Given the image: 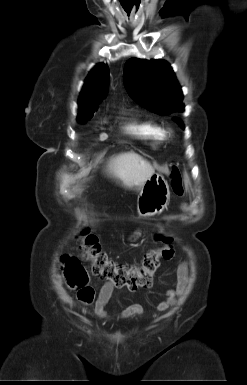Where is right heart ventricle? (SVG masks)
<instances>
[{
	"instance_id": "obj_1",
	"label": "right heart ventricle",
	"mask_w": 247,
	"mask_h": 385,
	"mask_svg": "<svg viewBox=\"0 0 247 385\" xmlns=\"http://www.w3.org/2000/svg\"><path fill=\"white\" fill-rule=\"evenodd\" d=\"M124 131L136 138L147 142L152 147H156L164 139L161 127L152 121L130 120L124 126Z\"/></svg>"
}]
</instances>
